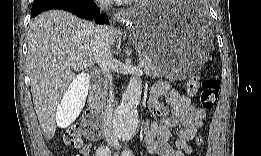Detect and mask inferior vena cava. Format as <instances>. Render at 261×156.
I'll use <instances>...</instances> for the list:
<instances>
[{
	"mask_svg": "<svg viewBox=\"0 0 261 156\" xmlns=\"http://www.w3.org/2000/svg\"><path fill=\"white\" fill-rule=\"evenodd\" d=\"M107 30L108 27L103 25L94 26L92 29V45L96 63L101 68V71L104 73L110 86L109 98L105 107L103 128L107 142L111 145H115L118 144V138L112 125L115 97L113 91V78L111 75L112 54L110 51V44L107 39Z\"/></svg>",
	"mask_w": 261,
	"mask_h": 156,
	"instance_id": "1",
	"label": "inferior vena cava"
}]
</instances>
